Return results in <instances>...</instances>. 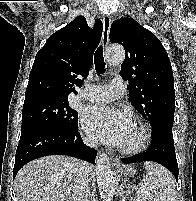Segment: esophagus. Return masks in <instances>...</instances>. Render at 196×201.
Returning a JSON list of instances; mask_svg holds the SVG:
<instances>
[{
	"label": "esophagus",
	"mask_w": 196,
	"mask_h": 201,
	"mask_svg": "<svg viewBox=\"0 0 196 201\" xmlns=\"http://www.w3.org/2000/svg\"><path fill=\"white\" fill-rule=\"evenodd\" d=\"M110 26H111V17L109 15L103 16L102 45L104 48H106L109 43ZM112 162L114 165H118L119 159L113 158Z\"/></svg>",
	"instance_id": "1"
}]
</instances>
